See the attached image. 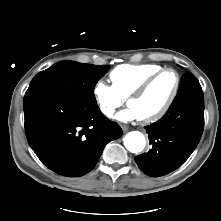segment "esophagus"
Listing matches in <instances>:
<instances>
[{
    "instance_id": "esophagus-1",
    "label": "esophagus",
    "mask_w": 221,
    "mask_h": 221,
    "mask_svg": "<svg viewBox=\"0 0 221 221\" xmlns=\"http://www.w3.org/2000/svg\"><path fill=\"white\" fill-rule=\"evenodd\" d=\"M122 130H123L124 132H127V131H128V126L122 125Z\"/></svg>"
}]
</instances>
